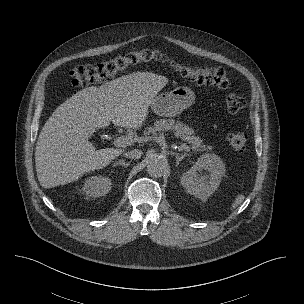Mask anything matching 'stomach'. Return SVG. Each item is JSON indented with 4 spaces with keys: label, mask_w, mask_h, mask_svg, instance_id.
<instances>
[{
    "label": "stomach",
    "mask_w": 304,
    "mask_h": 304,
    "mask_svg": "<svg viewBox=\"0 0 304 304\" xmlns=\"http://www.w3.org/2000/svg\"><path fill=\"white\" fill-rule=\"evenodd\" d=\"M195 100L194 92L186 87H176L170 92L156 96L150 105L152 111L159 116L175 117L190 107Z\"/></svg>",
    "instance_id": "0dacf381"
}]
</instances>
